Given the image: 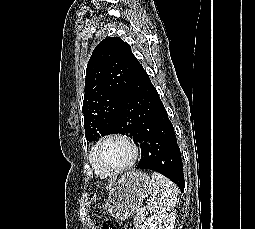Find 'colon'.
<instances>
[{
	"instance_id": "1",
	"label": "colon",
	"mask_w": 255,
	"mask_h": 229,
	"mask_svg": "<svg viewBox=\"0 0 255 229\" xmlns=\"http://www.w3.org/2000/svg\"><path fill=\"white\" fill-rule=\"evenodd\" d=\"M101 229H121V228L117 221L108 219L104 221Z\"/></svg>"
}]
</instances>
